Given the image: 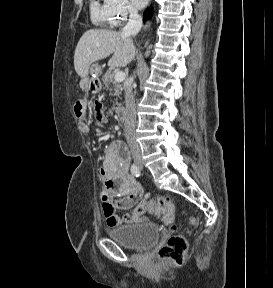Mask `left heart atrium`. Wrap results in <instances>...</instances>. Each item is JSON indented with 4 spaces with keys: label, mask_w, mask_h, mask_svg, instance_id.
Listing matches in <instances>:
<instances>
[{
    "label": "left heart atrium",
    "mask_w": 273,
    "mask_h": 288,
    "mask_svg": "<svg viewBox=\"0 0 273 288\" xmlns=\"http://www.w3.org/2000/svg\"><path fill=\"white\" fill-rule=\"evenodd\" d=\"M149 0H132L133 4L138 7V8H142L144 7Z\"/></svg>",
    "instance_id": "39dd6f15"
}]
</instances>
